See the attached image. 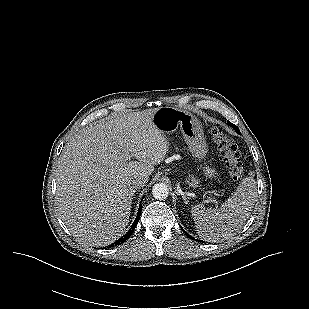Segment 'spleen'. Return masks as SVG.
I'll list each match as a JSON object with an SVG mask.
<instances>
[{
	"mask_svg": "<svg viewBox=\"0 0 309 309\" xmlns=\"http://www.w3.org/2000/svg\"><path fill=\"white\" fill-rule=\"evenodd\" d=\"M256 198V182L253 177H246L220 208H206L201 204L193 206L191 213L197 234L212 242L230 238L251 215Z\"/></svg>",
	"mask_w": 309,
	"mask_h": 309,
	"instance_id": "1",
	"label": "spleen"
}]
</instances>
